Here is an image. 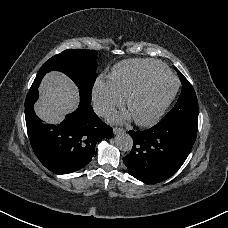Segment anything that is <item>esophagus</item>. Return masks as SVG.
Returning <instances> with one entry per match:
<instances>
[{
    "label": "esophagus",
    "mask_w": 228,
    "mask_h": 228,
    "mask_svg": "<svg viewBox=\"0 0 228 228\" xmlns=\"http://www.w3.org/2000/svg\"><path fill=\"white\" fill-rule=\"evenodd\" d=\"M113 132H114V134L122 133V132H124V128L114 127Z\"/></svg>",
    "instance_id": "1"
}]
</instances>
